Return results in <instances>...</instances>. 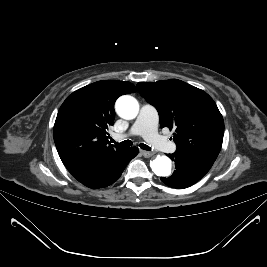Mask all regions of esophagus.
I'll use <instances>...</instances> for the list:
<instances>
[{"label": "esophagus", "instance_id": "34e87169", "mask_svg": "<svg viewBox=\"0 0 267 267\" xmlns=\"http://www.w3.org/2000/svg\"><path fill=\"white\" fill-rule=\"evenodd\" d=\"M141 154H142L144 157L149 158V157L153 156L154 153L149 152V151H144V150H142V151H141Z\"/></svg>", "mask_w": 267, "mask_h": 267}]
</instances>
